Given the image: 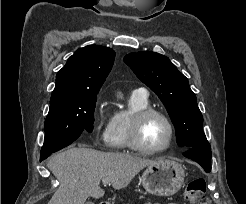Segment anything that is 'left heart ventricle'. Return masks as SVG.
Masks as SVG:
<instances>
[{
    "label": "left heart ventricle",
    "instance_id": "b2bd125f",
    "mask_svg": "<svg viewBox=\"0 0 246 204\" xmlns=\"http://www.w3.org/2000/svg\"><path fill=\"white\" fill-rule=\"evenodd\" d=\"M169 137V129L159 116L148 118L141 130V141L148 148H159L165 145Z\"/></svg>",
    "mask_w": 246,
    "mask_h": 204
}]
</instances>
